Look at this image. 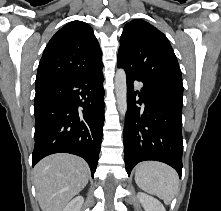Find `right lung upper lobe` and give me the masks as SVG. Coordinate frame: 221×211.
Segmentation results:
<instances>
[{"label":"right lung upper lobe","mask_w":221,"mask_h":211,"mask_svg":"<svg viewBox=\"0 0 221 211\" xmlns=\"http://www.w3.org/2000/svg\"><path fill=\"white\" fill-rule=\"evenodd\" d=\"M103 68L102 52L90 25L72 21L46 46L38 66L35 89Z\"/></svg>","instance_id":"right-lung-upper-lobe-1"}]
</instances>
